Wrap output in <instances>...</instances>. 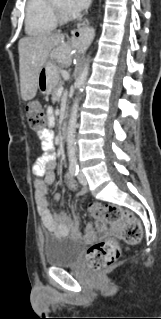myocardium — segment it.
I'll use <instances>...</instances> for the list:
<instances>
[{
    "label": "myocardium",
    "mask_w": 161,
    "mask_h": 319,
    "mask_svg": "<svg viewBox=\"0 0 161 319\" xmlns=\"http://www.w3.org/2000/svg\"><path fill=\"white\" fill-rule=\"evenodd\" d=\"M51 1H52V9H53L54 15L60 23L67 24L73 21V18L68 13H66L63 9L59 8L54 3V0H51Z\"/></svg>",
    "instance_id": "f54148a6"
}]
</instances>
